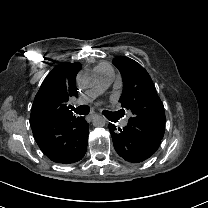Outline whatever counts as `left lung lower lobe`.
<instances>
[{
	"mask_svg": "<svg viewBox=\"0 0 208 208\" xmlns=\"http://www.w3.org/2000/svg\"><path fill=\"white\" fill-rule=\"evenodd\" d=\"M114 148L118 155L131 163L149 159L159 148L161 140L128 123L123 129L109 124Z\"/></svg>",
	"mask_w": 208,
	"mask_h": 208,
	"instance_id": "0a47b994",
	"label": "left lung lower lobe"
}]
</instances>
